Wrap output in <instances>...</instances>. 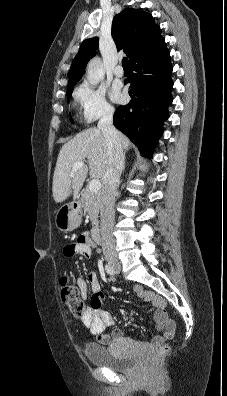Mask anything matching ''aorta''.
<instances>
[{
  "mask_svg": "<svg viewBox=\"0 0 227 396\" xmlns=\"http://www.w3.org/2000/svg\"><path fill=\"white\" fill-rule=\"evenodd\" d=\"M104 78V70L100 58H93L87 66V79L91 85H97Z\"/></svg>",
  "mask_w": 227,
  "mask_h": 396,
  "instance_id": "aorta-1",
  "label": "aorta"
}]
</instances>
